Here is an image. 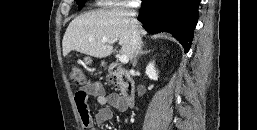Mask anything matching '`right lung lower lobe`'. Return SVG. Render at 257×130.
<instances>
[{
    "mask_svg": "<svg viewBox=\"0 0 257 130\" xmlns=\"http://www.w3.org/2000/svg\"><path fill=\"white\" fill-rule=\"evenodd\" d=\"M138 20L149 33L168 32L188 52L198 21L200 0H142Z\"/></svg>",
    "mask_w": 257,
    "mask_h": 130,
    "instance_id": "obj_1",
    "label": "right lung lower lobe"
}]
</instances>
